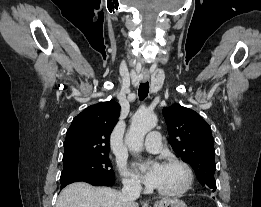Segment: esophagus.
Listing matches in <instances>:
<instances>
[{"label":"esophagus","instance_id":"esophagus-1","mask_svg":"<svg viewBox=\"0 0 261 207\" xmlns=\"http://www.w3.org/2000/svg\"><path fill=\"white\" fill-rule=\"evenodd\" d=\"M148 79H149V75H148V74H145V75L143 76V81L146 82Z\"/></svg>","mask_w":261,"mask_h":207}]
</instances>
